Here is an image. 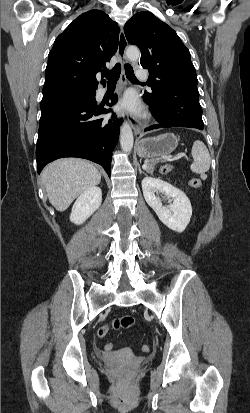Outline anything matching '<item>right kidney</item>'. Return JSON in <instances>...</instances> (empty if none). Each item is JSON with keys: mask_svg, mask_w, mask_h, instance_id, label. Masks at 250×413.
I'll return each mask as SVG.
<instances>
[{"mask_svg": "<svg viewBox=\"0 0 250 413\" xmlns=\"http://www.w3.org/2000/svg\"><path fill=\"white\" fill-rule=\"evenodd\" d=\"M102 203V191L99 187H90L75 201L70 214V221L83 224Z\"/></svg>", "mask_w": 250, "mask_h": 413, "instance_id": "ca27d5eb", "label": "right kidney"}]
</instances>
